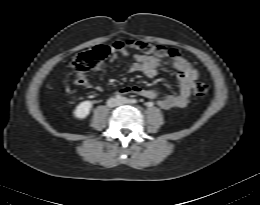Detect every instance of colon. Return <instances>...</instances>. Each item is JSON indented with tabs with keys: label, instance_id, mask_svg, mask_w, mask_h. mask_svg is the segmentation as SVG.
Returning a JSON list of instances; mask_svg holds the SVG:
<instances>
[{
	"label": "colon",
	"instance_id": "obj_1",
	"mask_svg": "<svg viewBox=\"0 0 260 205\" xmlns=\"http://www.w3.org/2000/svg\"><path fill=\"white\" fill-rule=\"evenodd\" d=\"M134 49L144 55H151L158 59L176 60L180 57L176 49L167 48L161 45H153L141 41L116 42L111 46L114 50ZM109 48L105 45L96 46L88 51L78 54L73 65L79 73L88 72L96 68L108 55ZM208 85L198 82L193 87V94L196 97H204L208 93Z\"/></svg>",
	"mask_w": 260,
	"mask_h": 205
}]
</instances>
